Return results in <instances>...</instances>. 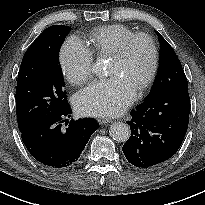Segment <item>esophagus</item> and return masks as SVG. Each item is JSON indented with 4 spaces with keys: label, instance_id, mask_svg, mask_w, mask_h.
Returning a JSON list of instances; mask_svg holds the SVG:
<instances>
[{
    "label": "esophagus",
    "instance_id": "1",
    "mask_svg": "<svg viewBox=\"0 0 205 205\" xmlns=\"http://www.w3.org/2000/svg\"><path fill=\"white\" fill-rule=\"evenodd\" d=\"M97 122H98L99 124L103 125V124H106V123H108V122H110V121L107 120V119H103V118H97Z\"/></svg>",
    "mask_w": 205,
    "mask_h": 205
}]
</instances>
